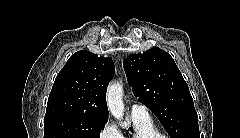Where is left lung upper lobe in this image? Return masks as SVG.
<instances>
[{
	"instance_id": "5c2ea615",
	"label": "left lung upper lobe",
	"mask_w": 240,
	"mask_h": 138,
	"mask_svg": "<svg viewBox=\"0 0 240 138\" xmlns=\"http://www.w3.org/2000/svg\"><path fill=\"white\" fill-rule=\"evenodd\" d=\"M123 66L134 95L157 116L171 138H200L188 85L168 53L154 47L128 56Z\"/></svg>"
}]
</instances>
